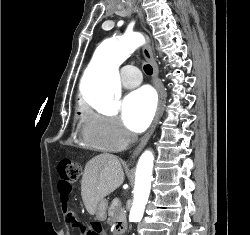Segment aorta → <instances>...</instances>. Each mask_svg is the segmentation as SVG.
<instances>
[{
  "label": "aorta",
  "mask_w": 250,
  "mask_h": 235,
  "mask_svg": "<svg viewBox=\"0 0 250 235\" xmlns=\"http://www.w3.org/2000/svg\"><path fill=\"white\" fill-rule=\"evenodd\" d=\"M144 42L142 34L131 33L124 35L120 41L109 39L98 46L86 71V83L82 90L91 105L110 108L117 101L120 92L118 66ZM153 162L151 151H145L138 161L130 222H140L143 217L151 188Z\"/></svg>",
  "instance_id": "1"
}]
</instances>
